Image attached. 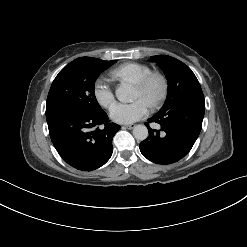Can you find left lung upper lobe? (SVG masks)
<instances>
[{
	"label": "left lung upper lobe",
	"mask_w": 247,
	"mask_h": 247,
	"mask_svg": "<svg viewBox=\"0 0 247 247\" xmlns=\"http://www.w3.org/2000/svg\"><path fill=\"white\" fill-rule=\"evenodd\" d=\"M168 81L167 99L157 114H164L185 105L205 106L200 84L192 70L183 62L167 55L151 56Z\"/></svg>",
	"instance_id": "obj_1"
}]
</instances>
